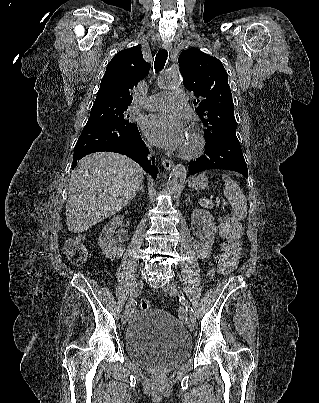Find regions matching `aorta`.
<instances>
[{
    "instance_id": "1",
    "label": "aorta",
    "mask_w": 319,
    "mask_h": 403,
    "mask_svg": "<svg viewBox=\"0 0 319 403\" xmlns=\"http://www.w3.org/2000/svg\"><path fill=\"white\" fill-rule=\"evenodd\" d=\"M159 82L162 87H178L181 79L177 74L165 73L160 77ZM186 176V167L183 164L176 165L167 182L168 190L172 193L178 192L184 186Z\"/></svg>"
}]
</instances>
